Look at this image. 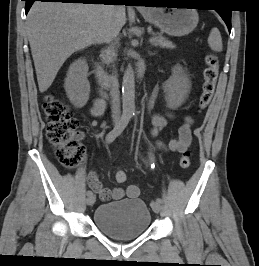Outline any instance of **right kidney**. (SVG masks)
Here are the masks:
<instances>
[{"mask_svg": "<svg viewBox=\"0 0 259 266\" xmlns=\"http://www.w3.org/2000/svg\"><path fill=\"white\" fill-rule=\"evenodd\" d=\"M87 73L88 65L81 58L73 62L67 72L64 88L67 97L76 108L84 107L89 99L90 84Z\"/></svg>", "mask_w": 259, "mask_h": 266, "instance_id": "1", "label": "right kidney"}]
</instances>
